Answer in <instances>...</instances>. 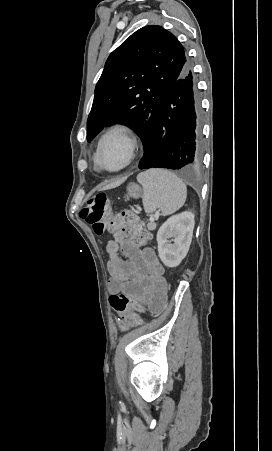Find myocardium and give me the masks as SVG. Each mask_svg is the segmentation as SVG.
I'll return each instance as SVG.
<instances>
[{
  "instance_id": "obj_1",
  "label": "myocardium",
  "mask_w": 272,
  "mask_h": 451,
  "mask_svg": "<svg viewBox=\"0 0 272 451\" xmlns=\"http://www.w3.org/2000/svg\"><path fill=\"white\" fill-rule=\"evenodd\" d=\"M111 138H117L124 144V146L126 148L127 159H126V162L124 163V165L117 170H109L111 172H120V171L126 169L131 164V162L134 158V152H135V141L129 134L128 130L122 126H114V127L110 128L109 130H107L102 135V137L100 138V140L98 142V145H97V148H96V151L94 154V162H95L96 167L99 170L104 169L100 165L99 156H100V152H101L103 146Z\"/></svg>"
}]
</instances>
